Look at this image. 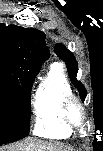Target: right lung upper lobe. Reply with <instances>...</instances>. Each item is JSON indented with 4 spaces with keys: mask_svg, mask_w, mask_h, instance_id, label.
<instances>
[{
    "mask_svg": "<svg viewBox=\"0 0 103 151\" xmlns=\"http://www.w3.org/2000/svg\"><path fill=\"white\" fill-rule=\"evenodd\" d=\"M49 56L43 32L0 24V76L13 83L34 80Z\"/></svg>",
    "mask_w": 103,
    "mask_h": 151,
    "instance_id": "obj_1",
    "label": "right lung upper lobe"
}]
</instances>
